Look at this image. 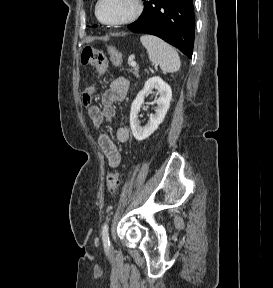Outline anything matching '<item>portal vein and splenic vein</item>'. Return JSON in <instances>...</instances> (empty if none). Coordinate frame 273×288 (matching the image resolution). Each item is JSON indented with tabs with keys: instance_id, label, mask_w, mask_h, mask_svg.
I'll list each match as a JSON object with an SVG mask.
<instances>
[{
	"instance_id": "18ae733b",
	"label": "portal vein and splenic vein",
	"mask_w": 273,
	"mask_h": 288,
	"mask_svg": "<svg viewBox=\"0 0 273 288\" xmlns=\"http://www.w3.org/2000/svg\"><path fill=\"white\" fill-rule=\"evenodd\" d=\"M132 67H136V62L135 61H133V62H131V64H130Z\"/></svg>"
}]
</instances>
